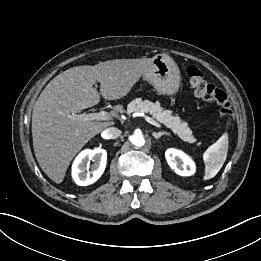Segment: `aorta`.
I'll list each match as a JSON object with an SVG mask.
<instances>
[{
  "label": "aorta",
  "mask_w": 261,
  "mask_h": 261,
  "mask_svg": "<svg viewBox=\"0 0 261 261\" xmlns=\"http://www.w3.org/2000/svg\"><path fill=\"white\" fill-rule=\"evenodd\" d=\"M131 142L132 144H134L135 146L141 147L144 145L145 140L144 137L142 136V134H134L131 137Z\"/></svg>",
  "instance_id": "obj_1"
}]
</instances>
